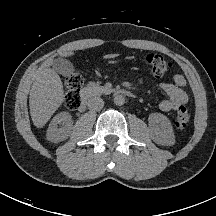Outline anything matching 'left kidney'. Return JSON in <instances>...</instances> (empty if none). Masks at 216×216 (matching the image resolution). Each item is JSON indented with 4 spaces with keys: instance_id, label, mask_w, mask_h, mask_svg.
Masks as SVG:
<instances>
[{
    "instance_id": "obj_1",
    "label": "left kidney",
    "mask_w": 216,
    "mask_h": 216,
    "mask_svg": "<svg viewBox=\"0 0 216 216\" xmlns=\"http://www.w3.org/2000/svg\"><path fill=\"white\" fill-rule=\"evenodd\" d=\"M149 133L152 140L164 146L175 144V135L170 120L161 113H151L148 117Z\"/></svg>"
}]
</instances>
